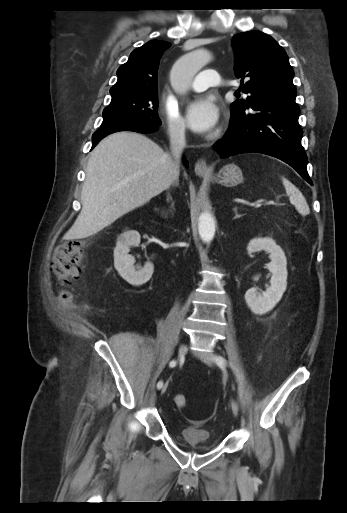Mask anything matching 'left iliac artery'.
<instances>
[{"mask_svg":"<svg viewBox=\"0 0 347 513\" xmlns=\"http://www.w3.org/2000/svg\"><path fill=\"white\" fill-rule=\"evenodd\" d=\"M214 359H215L217 365H219L220 367H223L227 363L226 360L221 356H215ZM236 371L238 372V370H236ZM238 376L240 377V375H238Z\"/></svg>","mask_w":347,"mask_h":513,"instance_id":"left-iliac-artery-1","label":"left iliac artery"}]
</instances>
